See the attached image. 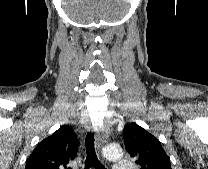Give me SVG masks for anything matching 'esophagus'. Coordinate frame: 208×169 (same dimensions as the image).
I'll return each mask as SVG.
<instances>
[{"label":"esophagus","mask_w":208,"mask_h":169,"mask_svg":"<svg viewBox=\"0 0 208 169\" xmlns=\"http://www.w3.org/2000/svg\"><path fill=\"white\" fill-rule=\"evenodd\" d=\"M109 134H110L109 130L106 127H103L100 131H98L95 137V145L97 147L98 154L100 156H101V148L107 142Z\"/></svg>","instance_id":"obj_1"}]
</instances>
